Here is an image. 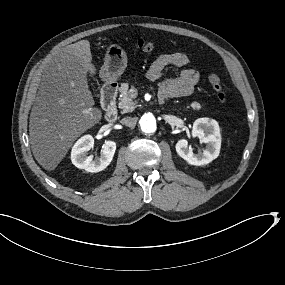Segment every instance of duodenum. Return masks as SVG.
<instances>
[{
  "mask_svg": "<svg viewBox=\"0 0 285 285\" xmlns=\"http://www.w3.org/2000/svg\"><path fill=\"white\" fill-rule=\"evenodd\" d=\"M118 85L110 82L104 85L101 92V103L105 110V119L113 122L117 119L118 112L116 107Z\"/></svg>",
  "mask_w": 285,
  "mask_h": 285,
  "instance_id": "duodenum-1",
  "label": "duodenum"
}]
</instances>
